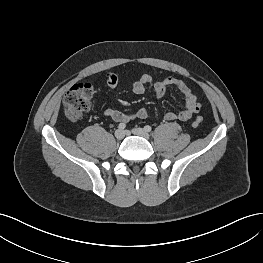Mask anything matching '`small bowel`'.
<instances>
[{
    "label": "small bowel",
    "mask_w": 263,
    "mask_h": 263,
    "mask_svg": "<svg viewBox=\"0 0 263 263\" xmlns=\"http://www.w3.org/2000/svg\"><path fill=\"white\" fill-rule=\"evenodd\" d=\"M105 82L108 89H115L119 83V77L115 73L110 72L106 75ZM148 86L152 87L153 93L157 98H162L169 87H176L184 96V108L178 112H167L164 115V119L167 121H186L198 113L201 108V104L191 88L180 78L167 77L161 80H154L152 76L146 74L133 83L132 90L135 94L140 95L146 91ZM104 115L115 122L127 123L135 118L145 120L148 118L149 113L145 108H140L136 112H122L107 108L104 110Z\"/></svg>",
    "instance_id": "1"
}]
</instances>
